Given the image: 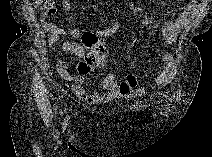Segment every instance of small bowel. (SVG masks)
I'll return each instance as SVG.
<instances>
[{
  "label": "small bowel",
  "instance_id": "small-bowel-1",
  "mask_svg": "<svg viewBox=\"0 0 212 157\" xmlns=\"http://www.w3.org/2000/svg\"><path fill=\"white\" fill-rule=\"evenodd\" d=\"M200 6L199 1H188L175 19L163 23L161 29L167 44L172 45L177 41L182 30L190 24L199 12ZM61 7L65 13H70L72 11L71 0H63ZM41 23L49 35L48 45L51 50L73 54L76 60L83 57V50L78 45L70 42L59 43L60 38L68 34L67 30L48 22L45 13L41 14ZM87 31H91L100 37H111L119 31V23L114 22L110 27L105 29H82V32ZM161 62L164 64V68L156 78V84L160 86L165 85L170 80L175 70L174 58L170 53L164 54L161 57ZM69 66V61L59 60L56 63L57 73L61 78L71 81L73 90L78 97L89 104L110 102L118 97H130L144 91L141 87H138L137 77L135 75H128L124 80L118 82L112 72H109L103 79L104 93L90 90L83 86L79 76L69 73Z\"/></svg>",
  "mask_w": 212,
  "mask_h": 157
}]
</instances>
